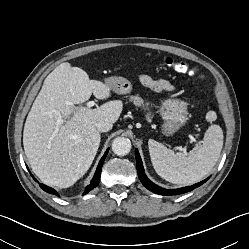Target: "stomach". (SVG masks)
<instances>
[{"label": "stomach", "instance_id": "0dacf381", "mask_svg": "<svg viewBox=\"0 0 249 249\" xmlns=\"http://www.w3.org/2000/svg\"><path fill=\"white\" fill-rule=\"evenodd\" d=\"M105 83L117 94L130 93L133 88L131 82L123 77H110L105 80ZM160 115L164 120V133L171 135L187 121V105L180 99H166L160 107Z\"/></svg>", "mask_w": 249, "mask_h": 249}]
</instances>
